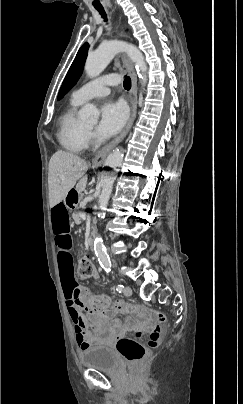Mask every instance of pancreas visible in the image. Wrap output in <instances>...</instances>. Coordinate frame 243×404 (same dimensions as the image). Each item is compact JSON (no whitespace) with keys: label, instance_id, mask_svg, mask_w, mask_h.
<instances>
[{"label":"pancreas","instance_id":"obj_1","mask_svg":"<svg viewBox=\"0 0 243 404\" xmlns=\"http://www.w3.org/2000/svg\"><path fill=\"white\" fill-rule=\"evenodd\" d=\"M73 219L75 220V225L79 226L80 225V220L78 219V214L77 213L73 214Z\"/></svg>","mask_w":243,"mask_h":404}]
</instances>
